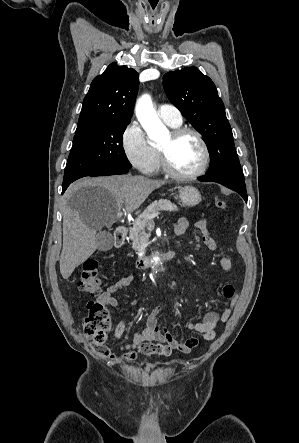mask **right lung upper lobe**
Masks as SVG:
<instances>
[{"label": "right lung upper lobe", "mask_w": 299, "mask_h": 443, "mask_svg": "<svg viewBox=\"0 0 299 443\" xmlns=\"http://www.w3.org/2000/svg\"><path fill=\"white\" fill-rule=\"evenodd\" d=\"M138 80L139 75L134 69L111 63L92 81L76 130L110 121H130Z\"/></svg>", "instance_id": "right-lung-upper-lobe-1"}]
</instances>
